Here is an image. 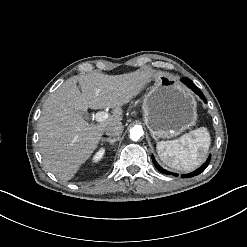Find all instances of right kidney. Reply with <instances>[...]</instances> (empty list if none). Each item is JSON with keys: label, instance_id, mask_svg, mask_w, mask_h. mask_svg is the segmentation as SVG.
Wrapping results in <instances>:
<instances>
[{"label": "right kidney", "instance_id": "1", "mask_svg": "<svg viewBox=\"0 0 247 247\" xmlns=\"http://www.w3.org/2000/svg\"><path fill=\"white\" fill-rule=\"evenodd\" d=\"M106 148L100 147L91 157V163H99L106 155Z\"/></svg>", "mask_w": 247, "mask_h": 247}]
</instances>
